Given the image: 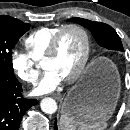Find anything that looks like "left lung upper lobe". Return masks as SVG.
Segmentation results:
<instances>
[{
  "label": "left lung upper lobe",
  "mask_w": 130,
  "mask_h": 130,
  "mask_svg": "<svg viewBox=\"0 0 130 130\" xmlns=\"http://www.w3.org/2000/svg\"><path fill=\"white\" fill-rule=\"evenodd\" d=\"M68 21L78 23L89 29L100 46L108 50L123 52L120 37L111 26L78 17L71 18Z\"/></svg>",
  "instance_id": "left-lung-upper-lobe-1"
}]
</instances>
